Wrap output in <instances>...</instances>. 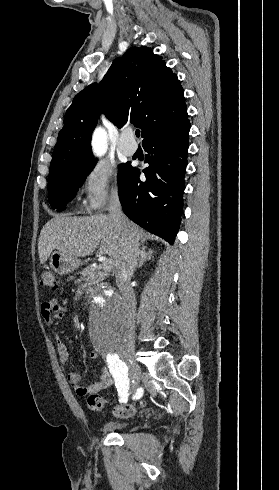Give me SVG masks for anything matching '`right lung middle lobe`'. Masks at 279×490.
I'll use <instances>...</instances> for the list:
<instances>
[{
  "label": "right lung middle lobe",
  "instance_id": "obj_1",
  "mask_svg": "<svg viewBox=\"0 0 279 490\" xmlns=\"http://www.w3.org/2000/svg\"><path fill=\"white\" fill-rule=\"evenodd\" d=\"M95 163L96 159L90 160L49 177V201L53 209L64 210L67 201L72 200L76 195L78 188L84 182L86 175L94 168ZM130 168L128 163L121 164V173L118 177L119 185Z\"/></svg>",
  "mask_w": 279,
  "mask_h": 490
}]
</instances>
